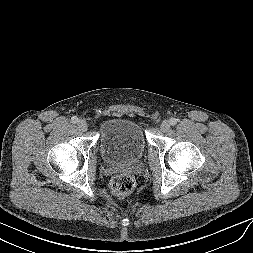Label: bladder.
<instances>
[{"label":"bladder","instance_id":"obj_1","mask_svg":"<svg viewBox=\"0 0 253 253\" xmlns=\"http://www.w3.org/2000/svg\"><path fill=\"white\" fill-rule=\"evenodd\" d=\"M147 146L145 132L135 120L112 118L106 120L99 133L100 155L110 164L138 162Z\"/></svg>","mask_w":253,"mask_h":253}]
</instances>
